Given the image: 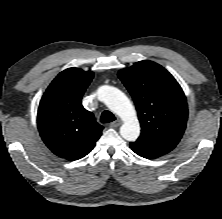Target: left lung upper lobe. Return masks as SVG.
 Masks as SVG:
<instances>
[{"instance_id": "5c2ea615", "label": "left lung upper lobe", "mask_w": 222, "mask_h": 219, "mask_svg": "<svg viewBox=\"0 0 222 219\" xmlns=\"http://www.w3.org/2000/svg\"><path fill=\"white\" fill-rule=\"evenodd\" d=\"M130 92L141 125L139 142L173 150L187 122V102L174 77L161 65L144 60L118 72Z\"/></svg>"}]
</instances>
